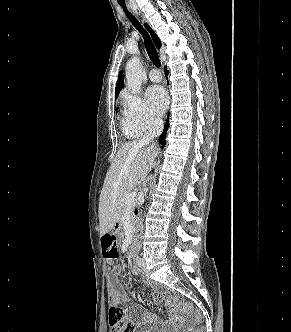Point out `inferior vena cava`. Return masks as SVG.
Listing matches in <instances>:
<instances>
[{"mask_svg":"<svg viewBox=\"0 0 291 332\" xmlns=\"http://www.w3.org/2000/svg\"><path fill=\"white\" fill-rule=\"evenodd\" d=\"M163 125H164L163 120H161V119L153 120L149 127V131L142 138L141 142L144 144H149V142L151 140H153L154 138H157L163 130Z\"/></svg>","mask_w":291,"mask_h":332,"instance_id":"1","label":"inferior vena cava"}]
</instances>
